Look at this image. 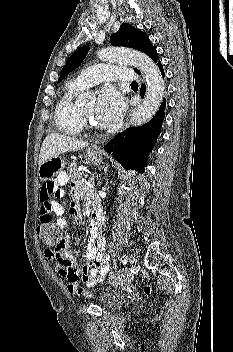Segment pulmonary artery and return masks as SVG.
Here are the masks:
<instances>
[{"label": "pulmonary artery", "instance_id": "e3ab8cb5", "mask_svg": "<svg viewBox=\"0 0 233 352\" xmlns=\"http://www.w3.org/2000/svg\"><path fill=\"white\" fill-rule=\"evenodd\" d=\"M111 80L134 82L137 80V75L127 67L98 64L83 70L73 82L81 88H88Z\"/></svg>", "mask_w": 233, "mask_h": 352}]
</instances>
